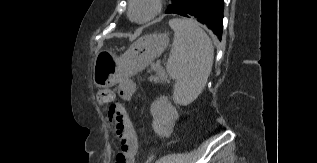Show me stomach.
Here are the masks:
<instances>
[{"label": "stomach", "instance_id": "1", "mask_svg": "<svg viewBox=\"0 0 317 163\" xmlns=\"http://www.w3.org/2000/svg\"><path fill=\"white\" fill-rule=\"evenodd\" d=\"M168 44L166 33H153L139 38L121 56L110 50L98 52L93 66L94 84L107 88L131 77L160 56Z\"/></svg>", "mask_w": 317, "mask_h": 163}]
</instances>
